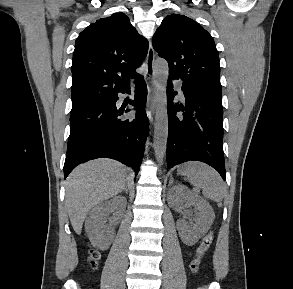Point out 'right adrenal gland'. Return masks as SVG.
I'll list each match as a JSON object with an SVG mask.
<instances>
[{"label":"right adrenal gland","mask_w":293,"mask_h":289,"mask_svg":"<svg viewBox=\"0 0 293 289\" xmlns=\"http://www.w3.org/2000/svg\"><path fill=\"white\" fill-rule=\"evenodd\" d=\"M123 191H125L126 194H128V188H127V186H125L124 189L121 192H123Z\"/></svg>","instance_id":"obj_1"}]
</instances>
